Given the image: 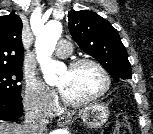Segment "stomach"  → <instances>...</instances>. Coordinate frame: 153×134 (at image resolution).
<instances>
[{
    "mask_svg": "<svg viewBox=\"0 0 153 134\" xmlns=\"http://www.w3.org/2000/svg\"><path fill=\"white\" fill-rule=\"evenodd\" d=\"M79 116L87 128H100L108 120L109 109L104 104L94 103L82 109Z\"/></svg>",
    "mask_w": 153,
    "mask_h": 134,
    "instance_id": "obj_1",
    "label": "stomach"
}]
</instances>
